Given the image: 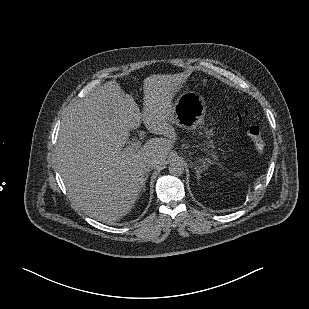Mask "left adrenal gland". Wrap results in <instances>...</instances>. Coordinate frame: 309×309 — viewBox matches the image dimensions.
Segmentation results:
<instances>
[{"mask_svg": "<svg viewBox=\"0 0 309 309\" xmlns=\"http://www.w3.org/2000/svg\"><path fill=\"white\" fill-rule=\"evenodd\" d=\"M195 170H196V174H197V177H199L200 176V168H197V167H195Z\"/></svg>", "mask_w": 309, "mask_h": 309, "instance_id": "obj_1", "label": "left adrenal gland"}]
</instances>
